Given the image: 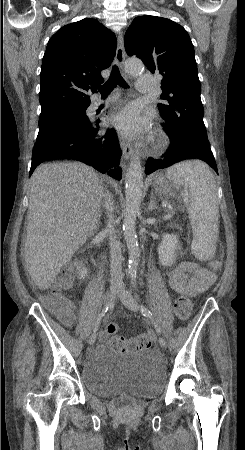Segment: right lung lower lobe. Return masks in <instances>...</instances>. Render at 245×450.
Wrapping results in <instances>:
<instances>
[{
  "label": "right lung lower lobe",
  "mask_w": 245,
  "mask_h": 450,
  "mask_svg": "<svg viewBox=\"0 0 245 450\" xmlns=\"http://www.w3.org/2000/svg\"><path fill=\"white\" fill-rule=\"evenodd\" d=\"M90 103L87 105V107ZM100 120L73 117L65 125L54 130L55 134L36 144L32 152L29 177L41 162L53 158H68L85 162L101 173L120 180L121 149L113 130L98 134Z\"/></svg>",
  "instance_id": "obj_1"
}]
</instances>
